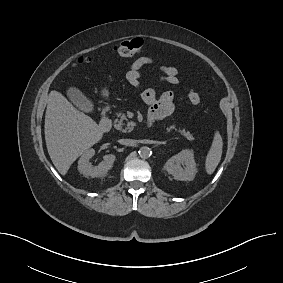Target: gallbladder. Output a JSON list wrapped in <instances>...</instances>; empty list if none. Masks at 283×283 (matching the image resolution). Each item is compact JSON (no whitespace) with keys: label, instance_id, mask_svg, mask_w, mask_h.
I'll return each instance as SVG.
<instances>
[{"label":"gallbladder","instance_id":"bac80fb5","mask_svg":"<svg viewBox=\"0 0 283 283\" xmlns=\"http://www.w3.org/2000/svg\"><path fill=\"white\" fill-rule=\"evenodd\" d=\"M67 96L71 100V102L78 107V109L87 112L92 113L94 110V106L91 100H89L85 94L80 91L76 87H69L67 89Z\"/></svg>","mask_w":283,"mask_h":283}]
</instances>
